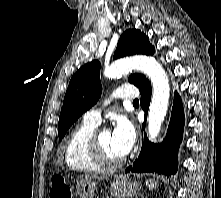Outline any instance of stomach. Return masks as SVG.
Listing matches in <instances>:
<instances>
[{
    "label": "stomach",
    "instance_id": "0dacf381",
    "mask_svg": "<svg viewBox=\"0 0 221 198\" xmlns=\"http://www.w3.org/2000/svg\"><path fill=\"white\" fill-rule=\"evenodd\" d=\"M141 189L140 184L125 176L116 177L110 184V193L114 198H129ZM97 190L92 180L81 179L76 183V195L79 198H93Z\"/></svg>",
    "mask_w": 221,
    "mask_h": 198
}]
</instances>
